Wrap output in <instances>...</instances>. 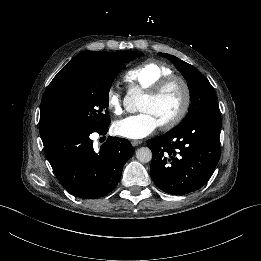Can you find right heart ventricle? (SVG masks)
Instances as JSON below:
<instances>
[{
    "mask_svg": "<svg viewBox=\"0 0 261 261\" xmlns=\"http://www.w3.org/2000/svg\"><path fill=\"white\" fill-rule=\"evenodd\" d=\"M174 75L173 70L162 61L149 59L125 73L130 88L149 92L156 83L165 77Z\"/></svg>",
    "mask_w": 261,
    "mask_h": 261,
    "instance_id": "obj_1",
    "label": "right heart ventricle"
}]
</instances>
